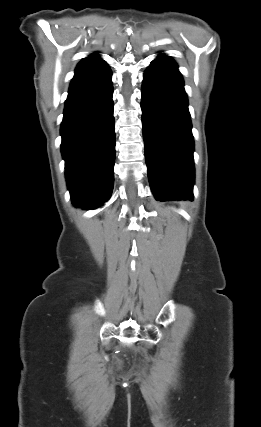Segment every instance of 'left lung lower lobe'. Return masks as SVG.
<instances>
[{"label":"left lung lower lobe","instance_id":"0a47b994","mask_svg":"<svg viewBox=\"0 0 261 427\" xmlns=\"http://www.w3.org/2000/svg\"><path fill=\"white\" fill-rule=\"evenodd\" d=\"M148 178L159 201L193 200L194 141L184 82L168 56L153 60L142 84Z\"/></svg>","mask_w":261,"mask_h":427}]
</instances>
